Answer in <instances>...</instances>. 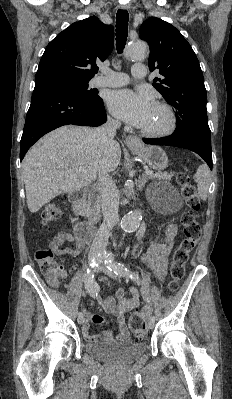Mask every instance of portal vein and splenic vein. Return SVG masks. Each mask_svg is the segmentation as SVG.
I'll use <instances>...</instances> for the list:
<instances>
[{"mask_svg": "<svg viewBox=\"0 0 232 399\" xmlns=\"http://www.w3.org/2000/svg\"><path fill=\"white\" fill-rule=\"evenodd\" d=\"M145 174H153L152 170H145Z\"/></svg>", "mask_w": 232, "mask_h": 399, "instance_id": "obj_1", "label": "portal vein and splenic vein"}]
</instances>
